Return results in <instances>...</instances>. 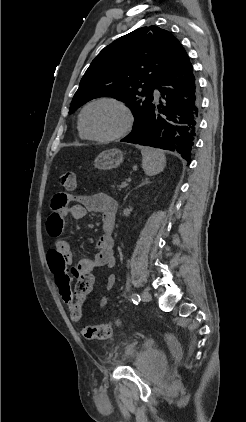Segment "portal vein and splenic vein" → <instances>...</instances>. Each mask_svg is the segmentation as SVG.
<instances>
[{"instance_id":"obj_1","label":"portal vein and splenic vein","mask_w":246,"mask_h":422,"mask_svg":"<svg viewBox=\"0 0 246 422\" xmlns=\"http://www.w3.org/2000/svg\"><path fill=\"white\" fill-rule=\"evenodd\" d=\"M131 181H132V179L131 178H128L126 183H129Z\"/></svg>"}]
</instances>
